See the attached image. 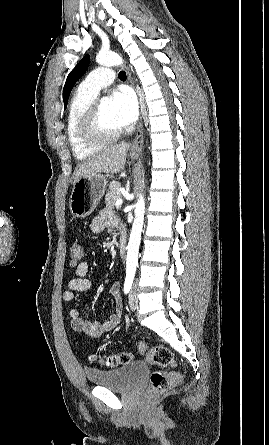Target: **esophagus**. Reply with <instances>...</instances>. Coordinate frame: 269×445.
<instances>
[{
	"label": "esophagus",
	"mask_w": 269,
	"mask_h": 445,
	"mask_svg": "<svg viewBox=\"0 0 269 445\" xmlns=\"http://www.w3.org/2000/svg\"><path fill=\"white\" fill-rule=\"evenodd\" d=\"M128 80L130 81V83H131L132 85H134L133 82H132L130 73H128ZM135 90H136L137 95H138V97H139V104H140V110H141V121H140L138 130H137L136 136H135V138H134V140H133L132 148H133V149H138V148L142 145V143H143V122H142V113H143V109H144V103H143V99H142V96H141V93H140L139 88H138V87H135Z\"/></svg>",
	"instance_id": "34e87169"
}]
</instances>
